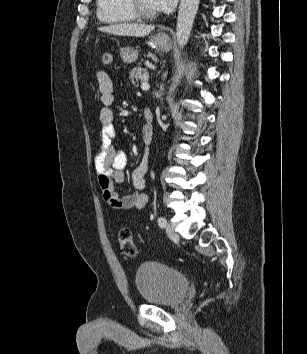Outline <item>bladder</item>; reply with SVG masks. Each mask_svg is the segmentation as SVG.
<instances>
[{
    "label": "bladder",
    "mask_w": 307,
    "mask_h": 354,
    "mask_svg": "<svg viewBox=\"0 0 307 354\" xmlns=\"http://www.w3.org/2000/svg\"><path fill=\"white\" fill-rule=\"evenodd\" d=\"M135 284L143 301L153 305H177L189 288V280L181 271L156 261L138 266Z\"/></svg>",
    "instance_id": "31cf9c89"
}]
</instances>
